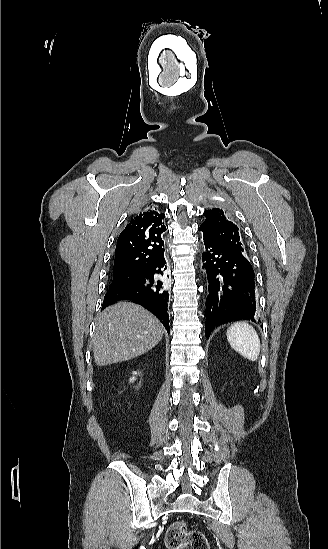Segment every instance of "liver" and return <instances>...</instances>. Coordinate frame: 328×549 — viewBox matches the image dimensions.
<instances>
[{"label": "liver", "instance_id": "1", "mask_svg": "<svg viewBox=\"0 0 328 549\" xmlns=\"http://www.w3.org/2000/svg\"><path fill=\"white\" fill-rule=\"evenodd\" d=\"M163 325L141 305L120 301L99 313L93 335L94 361L99 367L144 355L160 343Z\"/></svg>", "mask_w": 328, "mask_h": 549}]
</instances>
